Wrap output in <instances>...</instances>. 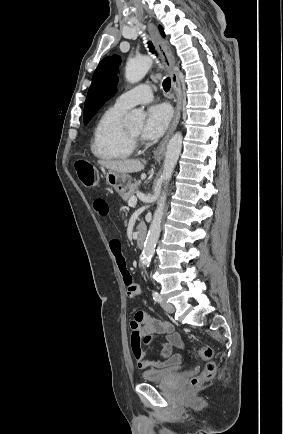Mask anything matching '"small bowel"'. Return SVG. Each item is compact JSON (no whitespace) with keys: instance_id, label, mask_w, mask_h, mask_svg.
Returning <instances> with one entry per match:
<instances>
[{"instance_id":"obj_1","label":"small bowel","mask_w":283,"mask_h":434,"mask_svg":"<svg viewBox=\"0 0 283 434\" xmlns=\"http://www.w3.org/2000/svg\"><path fill=\"white\" fill-rule=\"evenodd\" d=\"M95 212L100 216H106L109 212V205L103 198H97L93 203ZM110 249L115 257L118 269L127 286V294L130 298L141 295L140 287L135 284L127 269L126 261L121 252V244L117 239L110 240ZM131 349L139 368L164 369L177 366L182 361L181 354H173V348L184 347L183 340L174 326L166 321L159 320L144 311L135 314L130 322ZM164 336L165 341L161 343L159 357L150 359L143 351V344H150L152 336Z\"/></svg>"}]
</instances>
